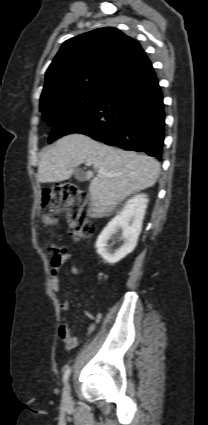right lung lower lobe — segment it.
Returning <instances> with one entry per match:
<instances>
[{
    "label": "right lung lower lobe",
    "instance_id": "98d812e1",
    "mask_svg": "<svg viewBox=\"0 0 208 425\" xmlns=\"http://www.w3.org/2000/svg\"><path fill=\"white\" fill-rule=\"evenodd\" d=\"M95 104L57 121L49 142L80 133L110 146L161 159L165 113L163 95L147 56L106 87Z\"/></svg>",
    "mask_w": 208,
    "mask_h": 425
}]
</instances>
